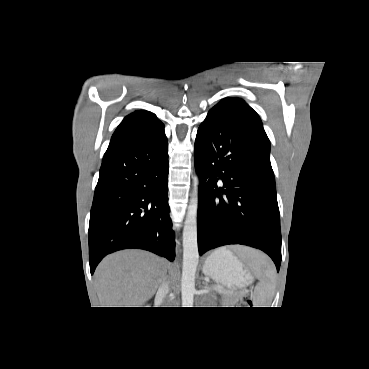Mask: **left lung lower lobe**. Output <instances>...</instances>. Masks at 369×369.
I'll list each match as a JSON object with an SVG mask.
<instances>
[{"label":"left lung lower lobe","instance_id":"obj_1","mask_svg":"<svg viewBox=\"0 0 369 369\" xmlns=\"http://www.w3.org/2000/svg\"><path fill=\"white\" fill-rule=\"evenodd\" d=\"M269 154L250 127L208 113L195 141L200 255L223 245H247L267 253L279 271L280 217Z\"/></svg>","mask_w":369,"mask_h":369}]
</instances>
